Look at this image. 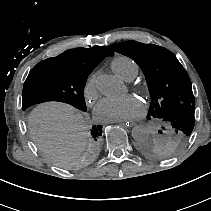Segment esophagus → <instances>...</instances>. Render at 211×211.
<instances>
[{
	"mask_svg": "<svg viewBox=\"0 0 211 211\" xmlns=\"http://www.w3.org/2000/svg\"><path fill=\"white\" fill-rule=\"evenodd\" d=\"M110 123H121V125L124 127V128H128V129H131L133 127V124L131 122H128L126 120H113L111 121Z\"/></svg>",
	"mask_w": 211,
	"mask_h": 211,
	"instance_id": "34e87169",
	"label": "esophagus"
}]
</instances>
